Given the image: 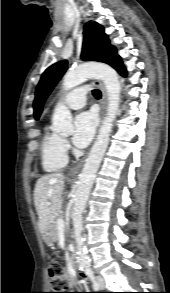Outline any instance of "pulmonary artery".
<instances>
[{"label": "pulmonary artery", "mask_w": 170, "mask_h": 293, "mask_svg": "<svg viewBox=\"0 0 170 293\" xmlns=\"http://www.w3.org/2000/svg\"><path fill=\"white\" fill-rule=\"evenodd\" d=\"M86 86H79L64 96V103L71 109H80L86 104Z\"/></svg>", "instance_id": "pulmonary-artery-1"}]
</instances>
